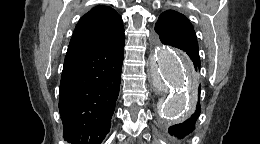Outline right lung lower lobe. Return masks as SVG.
Returning <instances> with one entry per match:
<instances>
[{
	"label": "right lung lower lobe",
	"instance_id": "1",
	"mask_svg": "<svg viewBox=\"0 0 260 144\" xmlns=\"http://www.w3.org/2000/svg\"><path fill=\"white\" fill-rule=\"evenodd\" d=\"M125 38L65 56L59 90L64 139L100 144L119 95Z\"/></svg>",
	"mask_w": 260,
	"mask_h": 144
}]
</instances>
